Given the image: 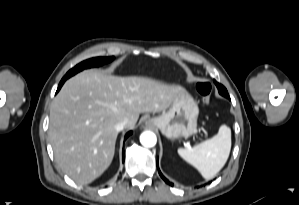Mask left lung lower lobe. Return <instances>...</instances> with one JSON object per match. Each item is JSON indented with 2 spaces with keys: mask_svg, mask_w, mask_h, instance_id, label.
I'll return each mask as SVG.
<instances>
[{
  "mask_svg": "<svg viewBox=\"0 0 299 205\" xmlns=\"http://www.w3.org/2000/svg\"><path fill=\"white\" fill-rule=\"evenodd\" d=\"M225 97H227V98H229V96H225ZM159 174H160V176L163 178V180L166 182V183H168V184H170L171 186L173 185L172 183H170L162 174H161V172H160V170H159Z\"/></svg>",
  "mask_w": 299,
  "mask_h": 205,
  "instance_id": "0a47b994",
  "label": "left lung lower lobe"
}]
</instances>
